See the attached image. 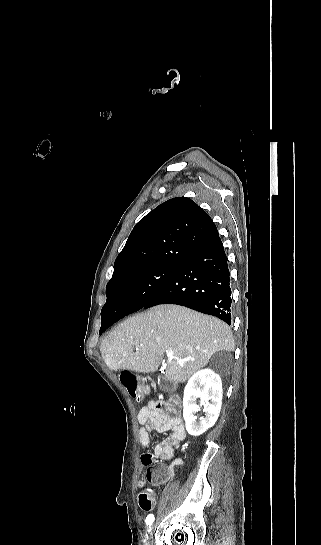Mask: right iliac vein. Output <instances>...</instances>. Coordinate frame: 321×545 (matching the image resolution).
Listing matches in <instances>:
<instances>
[{
    "label": "right iliac vein",
    "mask_w": 321,
    "mask_h": 545,
    "mask_svg": "<svg viewBox=\"0 0 321 545\" xmlns=\"http://www.w3.org/2000/svg\"><path fill=\"white\" fill-rule=\"evenodd\" d=\"M154 530H155V526L153 525V526L151 527V529H150V533H148V534L146 535V537H147L148 540L151 539Z\"/></svg>",
    "instance_id": "right-iliac-vein-1"
}]
</instances>
